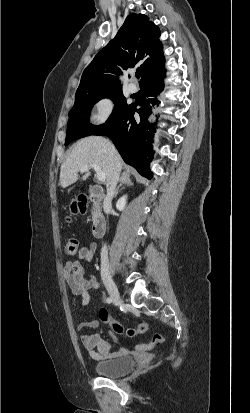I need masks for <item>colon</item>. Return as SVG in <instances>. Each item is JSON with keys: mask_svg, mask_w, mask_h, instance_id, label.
I'll return each instance as SVG.
<instances>
[{"mask_svg": "<svg viewBox=\"0 0 250 413\" xmlns=\"http://www.w3.org/2000/svg\"><path fill=\"white\" fill-rule=\"evenodd\" d=\"M71 215L84 214L87 211V204L84 199L78 198L74 199L68 208ZM65 253L68 255H77L80 251L79 242L75 238H70L66 241L64 246ZM99 318L110 325L112 330L117 334H124L129 337H135L137 335L144 336L146 334V329L149 327V322L147 320H142L141 322H136L134 328H126L121 323L112 320L105 309H101L99 312ZM164 341L163 337L160 335H154L151 341H140L134 343V352L146 353L149 350L155 349L157 344Z\"/></svg>", "mask_w": 250, "mask_h": 413, "instance_id": "1", "label": "colon"}]
</instances>
